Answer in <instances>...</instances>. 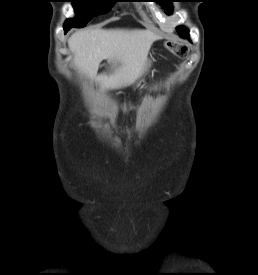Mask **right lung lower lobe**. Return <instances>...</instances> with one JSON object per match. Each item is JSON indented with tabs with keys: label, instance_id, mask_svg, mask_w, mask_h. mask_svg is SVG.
<instances>
[{
	"label": "right lung lower lobe",
	"instance_id": "1",
	"mask_svg": "<svg viewBox=\"0 0 258 275\" xmlns=\"http://www.w3.org/2000/svg\"><path fill=\"white\" fill-rule=\"evenodd\" d=\"M72 27L64 26L65 33H67Z\"/></svg>",
	"mask_w": 258,
	"mask_h": 275
}]
</instances>
